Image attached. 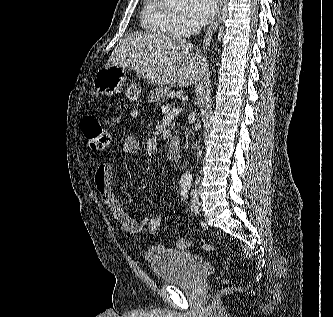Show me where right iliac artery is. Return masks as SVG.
<instances>
[{
    "label": "right iliac artery",
    "instance_id": "82829eb1",
    "mask_svg": "<svg viewBox=\"0 0 333 317\" xmlns=\"http://www.w3.org/2000/svg\"><path fill=\"white\" fill-rule=\"evenodd\" d=\"M188 188L187 185H182V189Z\"/></svg>",
    "mask_w": 333,
    "mask_h": 317
}]
</instances>
